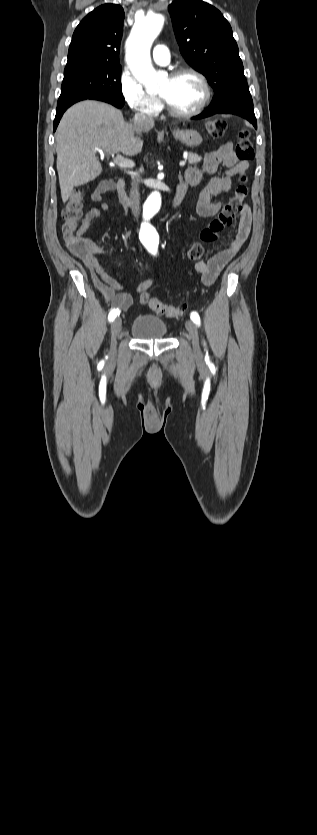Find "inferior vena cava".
<instances>
[{
  "mask_svg": "<svg viewBox=\"0 0 317 835\" xmlns=\"http://www.w3.org/2000/svg\"><path fill=\"white\" fill-rule=\"evenodd\" d=\"M133 125L137 132H141L152 128L154 126V120L151 116L138 111L135 113ZM130 197L133 203L132 213L136 218H138L140 214V193L138 187H133L131 189Z\"/></svg>",
  "mask_w": 317,
  "mask_h": 835,
  "instance_id": "1",
  "label": "inferior vena cava"
}]
</instances>
